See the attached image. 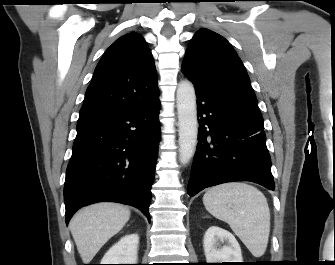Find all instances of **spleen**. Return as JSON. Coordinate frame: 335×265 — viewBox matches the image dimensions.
Here are the masks:
<instances>
[{"label": "spleen", "instance_id": "3e777b00", "mask_svg": "<svg viewBox=\"0 0 335 265\" xmlns=\"http://www.w3.org/2000/svg\"><path fill=\"white\" fill-rule=\"evenodd\" d=\"M206 210L229 224L255 257L262 256L270 234V210L264 194L242 182L212 187L203 196Z\"/></svg>", "mask_w": 335, "mask_h": 265}]
</instances>
